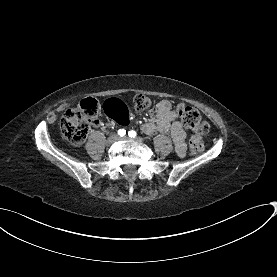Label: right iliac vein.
Returning <instances> with one entry per match:
<instances>
[{
    "label": "right iliac vein",
    "instance_id": "1",
    "mask_svg": "<svg viewBox=\"0 0 277 277\" xmlns=\"http://www.w3.org/2000/svg\"><path fill=\"white\" fill-rule=\"evenodd\" d=\"M118 139H119L118 136L115 135V134H113V135H111V136L107 139L106 144H107V145H112V144L115 143Z\"/></svg>",
    "mask_w": 277,
    "mask_h": 277
}]
</instances>
